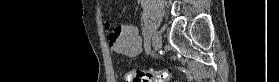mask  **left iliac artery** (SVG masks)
Listing matches in <instances>:
<instances>
[{
	"instance_id": "1",
	"label": "left iliac artery",
	"mask_w": 279,
	"mask_h": 82,
	"mask_svg": "<svg viewBox=\"0 0 279 82\" xmlns=\"http://www.w3.org/2000/svg\"><path fill=\"white\" fill-rule=\"evenodd\" d=\"M151 24L149 21H146L143 28V37H144V48L147 53H149V44L151 38Z\"/></svg>"
}]
</instances>
